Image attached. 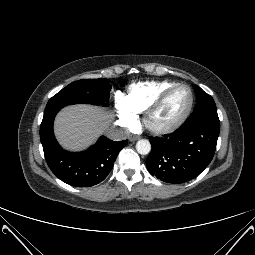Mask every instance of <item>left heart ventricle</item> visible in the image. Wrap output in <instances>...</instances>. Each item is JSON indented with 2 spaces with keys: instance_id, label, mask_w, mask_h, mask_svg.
<instances>
[{
  "instance_id": "b2bd125f",
  "label": "left heart ventricle",
  "mask_w": 255,
  "mask_h": 255,
  "mask_svg": "<svg viewBox=\"0 0 255 255\" xmlns=\"http://www.w3.org/2000/svg\"><path fill=\"white\" fill-rule=\"evenodd\" d=\"M189 100V92L186 89L176 90L155 113L152 122L156 125H167L174 122L185 112Z\"/></svg>"
}]
</instances>
